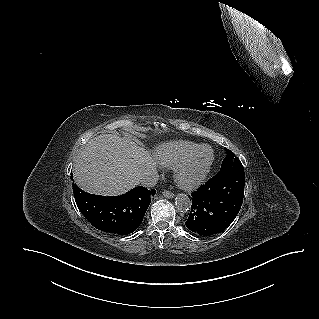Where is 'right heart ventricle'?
I'll use <instances>...</instances> for the list:
<instances>
[{
  "label": "right heart ventricle",
  "mask_w": 319,
  "mask_h": 319,
  "mask_svg": "<svg viewBox=\"0 0 319 319\" xmlns=\"http://www.w3.org/2000/svg\"><path fill=\"white\" fill-rule=\"evenodd\" d=\"M199 146L200 144L190 141L165 143L157 148V158L163 166L175 168Z\"/></svg>",
  "instance_id": "right-heart-ventricle-1"
}]
</instances>
